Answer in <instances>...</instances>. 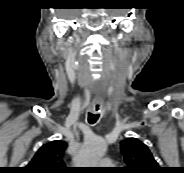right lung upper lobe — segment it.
<instances>
[{
  "label": "right lung upper lobe",
  "instance_id": "right-lung-upper-lobe-1",
  "mask_svg": "<svg viewBox=\"0 0 184 173\" xmlns=\"http://www.w3.org/2000/svg\"><path fill=\"white\" fill-rule=\"evenodd\" d=\"M67 143L56 140L43 145L31 162L23 168L24 173H67L64 166V151Z\"/></svg>",
  "mask_w": 184,
  "mask_h": 173
}]
</instances>
